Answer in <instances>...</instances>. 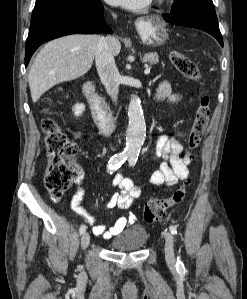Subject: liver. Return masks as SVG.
<instances>
[{
  "label": "liver",
  "instance_id": "1",
  "mask_svg": "<svg viewBox=\"0 0 247 299\" xmlns=\"http://www.w3.org/2000/svg\"><path fill=\"white\" fill-rule=\"evenodd\" d=\"M99 37L74 34L48 42L37 54L31 66L28 82L32 101L53 86L77 79L92 67ZM113 55L120 53L121 44L115 37L107 38Z\"/></svg>",
  "mask_w": 247,
  "mask_h": 299
}]
</instances>
